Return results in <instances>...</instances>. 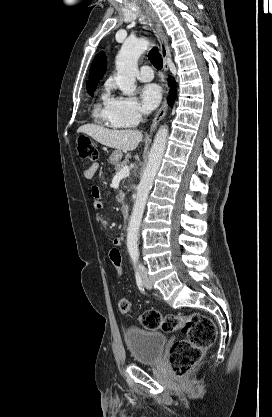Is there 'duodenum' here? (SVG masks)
<instances>
[{
	"label": "duodenum",
	"mask_w": 272,
	"mask_h": 417,
	"mask_svg": "<svg viewBox=\"0 0 272 417\" xmlns=\"http://www.w3.org/2000/svg\"><path fill=\"white\" fill-rule=\"evenodd\" d=\"M129 210H130L129 205L126 204V203H123L122 206H121V212H122L124 217L128 216Z\"/></svg>",
	"instance_id": "obj_1"
}]
</instances>
